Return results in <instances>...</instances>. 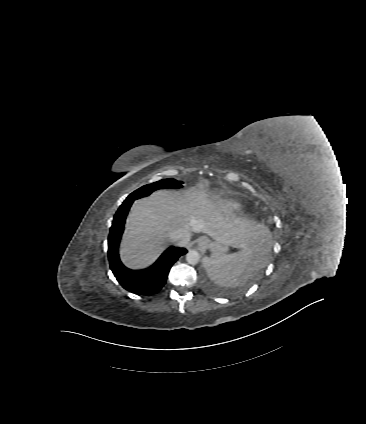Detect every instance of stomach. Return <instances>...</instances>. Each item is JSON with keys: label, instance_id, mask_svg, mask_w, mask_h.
Returning a JSON list of instances; mask_svg holds the SVG:
<instances>
[{"label": "stomach", "instance_id": "stomach-1", "mask_svg": "<svg viewBox=\"0 0 366 424\" xmlns=\"http://www.w3.org/2000/svg\"><path fill=\"white\" fill-rule=\"evenodd\" d=\"M207 247L211 250L214 257H220L224 256L228 252L229 246L219 241L212 242L208 240Z\"/></svg>", "mask_w": 366, "mask_h": 424}]
</instances>
